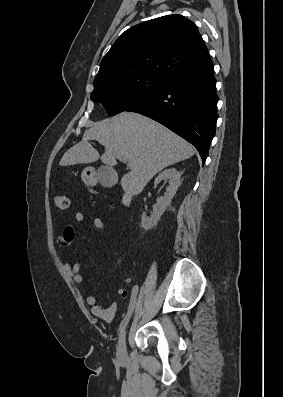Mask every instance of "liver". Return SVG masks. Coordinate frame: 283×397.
<instances>
[{
	"mask_svg": "<svg viewBox=\"0 0 283 397\" xmlns=\"http://www.w3.org/2000/svg\"><path fill=\"white\" fill-rule=\"evenodd\" d=\"M89 140L103 145L104 154L100 156ZM194 154L190 143L158 122L138 113L122 112L86 130L59 164H87L100 159L112 169L117 159H126L131 171L123 175L121 186L126 193L138 195L159 171Z\"/></svg>",
	"mask_w": 283,
	"mask_h": 397,
	"instance_id": "liver-1",
	"label": "liver"
}]
</instances>
